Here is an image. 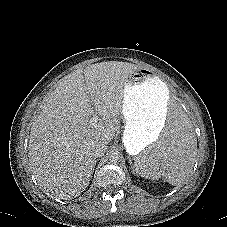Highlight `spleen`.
Returning a JSON list of instances; mask_svg holds the SVG:
<instances>
[{
  "mask_svg": "<svg viewBox=\"0 0 227 227\" xmlns=\"http://www.w3.org/2000/svg\"><path fill=\"white\" fill-rule=\"evenodd\" d=\"M190 112L177 106L171 112L169 134L157 152L147 150L136 159V173L147 179L164 180L172 185L183 183L193 169L197 156V140L189 125Z\"/></svg>",
  "mask_w": 227,
  "mask_h": 227,
  "instance_id": "obj_1",
  "label": "spleen"
}]
</instances>
